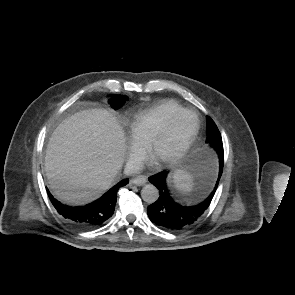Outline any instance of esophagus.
I'll return each instance as SVG.
<instances>
[{"instance_id": "obj_1", "label": "esophagus", "mask_w": 295, "mask_h": 295, "mask_svg": "<svg viewBox=\"0 0 295 295\" xmlns=\"http://www.w3.org/2000/svg\"><path fill=\"white\" fill-rule=\"evenodd\" d=\"M131 182L135 185L141 186L147 182V178L145 176H138L132 179Z\"/></svg>"}]
</instances>
